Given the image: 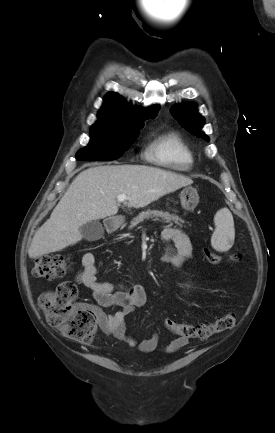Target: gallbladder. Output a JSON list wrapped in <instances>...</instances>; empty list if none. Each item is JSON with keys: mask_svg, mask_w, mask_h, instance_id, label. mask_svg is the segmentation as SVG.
<instances>
[{"mask_svg": "<svg viewBox=\"0 0 275 433\" xmlns=\"http://www.w3.org/2000/svg\"><path fill=\"white\" fill-rule=\"evenodd\" d=\"M80 232L83 238L87 241H97L102 238L104 234V228L98 221H90L80 227Z\"/></svg>", "mask_w": 275, "mask_h": 433, "instance_id": "gallbladder-1", "label": "gallbladder"}]
</instances>
